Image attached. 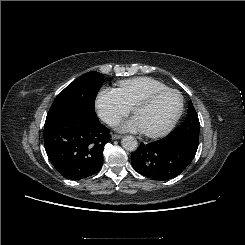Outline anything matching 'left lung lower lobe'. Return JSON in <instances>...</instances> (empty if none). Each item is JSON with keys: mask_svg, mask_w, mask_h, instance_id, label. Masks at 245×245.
Wrapping results in <instances>:
<instances>
[{"mask_svg": "<svg viewBox=\"0 0 245 245\" xmlns=\"http://www.w3.org/2000/svg\"><path fill=\"white\" fill-rule=\"evenodd\" d=\"M198 141L164 137L159 141L144 144L131 155L133 168L154 180H167L179 175L193 160Z\"/></svg>", "mask_w": 245, "mask_h": 245, "instance_id": "0a47b994", "label": "left lung lower lobe"}]
</instances>
